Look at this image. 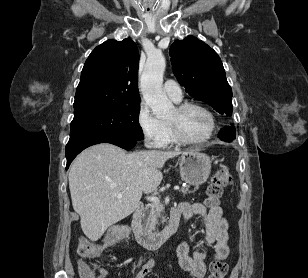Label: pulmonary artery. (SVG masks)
I'll return each mask as SVG.
<instances>
[{"mask_svg": "<svg viewBox=\"0 0 308 278\" xmlns=\"http://www.w3.org/2000/svg\"><path fill=\"white\" fill-rule=\"evenodd\" d=\"M164 92L175 102L182 100V90L180 86L173 80H167L163 87Z\"/></svg>", "mask_w": 308, "mask_h": 278, "instance_id": "e3ab8cb5", "label": "pulmonary artery"}]
</instances>
